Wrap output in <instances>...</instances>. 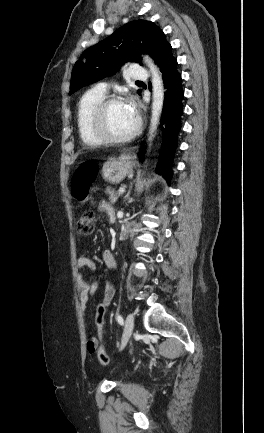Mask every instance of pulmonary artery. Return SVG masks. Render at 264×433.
Here are the masks:
<instances>
[{"label": "pulmonary artery", "instance_id": "pulmonary-artery-1", "mask_svg": "<svg viewBox=\"0 0 264 433\" xmlns=\"http://www.w3.org/2000/svg\"><path fill=\"white\" fill-rule=\"evenodd\" d=\"M129 74L134 80H145L148 78L147 70L143 67L132 66ZM94 89L102 94H106L108 87L106 83L100 82L96 84Z\"/></svg>", "mask_w": 264, "mask_h": 433}]
</instances>
